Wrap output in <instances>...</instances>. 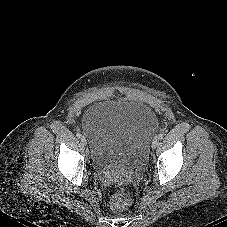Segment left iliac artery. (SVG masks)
I'll use <instances>...</instances> for the list:
<instances>
[{"label":"left iliac artery","mask_w":227,"mask_h":227,"mask_svg":"<svg viewBox=\"0 0 227 227\" xmlns=\"http://www.w3.org/2000/svg\"><path fill=\"white\" fill-rule=\"evenodd\" d=\"M158 137H159V139H162V138L164 137V134H163V133H160V134L158 135Z\"/></svg>","instance_id":"44dca946"}]
</instances>
